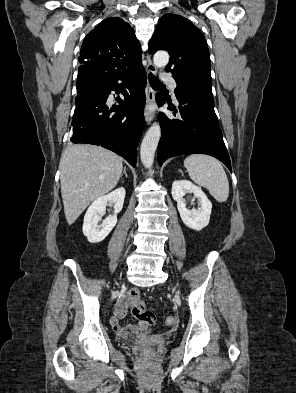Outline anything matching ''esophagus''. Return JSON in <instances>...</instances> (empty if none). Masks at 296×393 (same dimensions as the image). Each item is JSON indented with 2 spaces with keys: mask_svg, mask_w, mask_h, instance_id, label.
<instances>
[{
  "mask_svg": "<svg viewBox=\"0 0 296 393\" xmlns=\"http://www.w3.org/2000/svg\"><path fill=\"white\" fill-rule=\"evenodd\" d=\"M146 60H147V72L152 73L153 75H156L157 68L152 63V60H151V57L149 54H147ZM154 101H155V93H154V90L152 89V87L150 86V83L148 82L147 87H146V109L144 112V117H145L147 124H150L155 117L154 111L150 109V107H151V105H153Z\"/></svg>",
  "mask_w": 296,
  "mask_h": 393,
  "instance_id": "obj_1",
  "label": "esophagus"
}]
</instances>
